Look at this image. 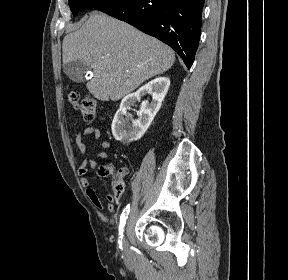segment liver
<instances>
[{"instance_id": "liver-1", "label": "liver", "mask_w": 288, "mask_h": 280, "mask_svg": "<svg viewBox=\"0 0 288 280\" xmlns=\"http://www.w3.org/2000/svg\"><path fill=\"white\" fill-rule=\"evenodd\" d=\"M62 56L63 64L77 60L93 68L86 87L102 101L121 99L175 61L174 51L161 41L98 11L64 37Z\"/></svg>"}]
</instances>
